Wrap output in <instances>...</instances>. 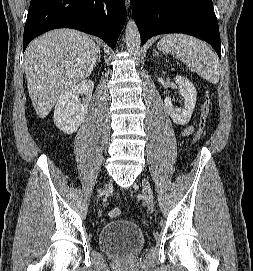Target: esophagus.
<instances>
[{
	"label": "esophagus",
	"mask_w": 253,
	"mask_h": 271,
	"mask_svg": "<svg viewBox=\"0 0 253 271\" xmlns=\"http://www.w3.org/2000/svg\"><path fill=\"white\" fill-rule=\"evenodd\" d=\"M126 8L129 9L131 5V0H125Z\"/></svg>",
	"instance_id": "esophagus-1"
}]
</instances>
